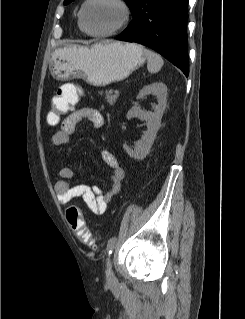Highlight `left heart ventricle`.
I'll return each mask as SVG.
<instances>
[{
  "label": "left heart ventricle",
  "instance_id": "left-heart-ventricle-1",
  "mask_svg": "<svg viewBox=\"0 0 245 319\" xmlns=\"http://www.w3.org/2000/svg\"><path fill=\"white\" fill-rule=\"evenodd\" d=\"M122 18L120 8L112 3L96 1L85 12V26L91 32H104L115 27Z\"/></svg>",
  "mask_w": 245,
  "mask_h": 319
}]
</instances>
